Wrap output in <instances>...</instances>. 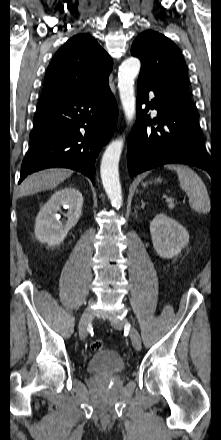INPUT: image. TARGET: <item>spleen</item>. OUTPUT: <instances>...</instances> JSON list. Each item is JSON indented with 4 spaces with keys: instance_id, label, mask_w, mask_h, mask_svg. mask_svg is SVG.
Masks as SVG:
<instances>
[{
    "instance_id": "3e777b00",
    "label": "spleen",
    "mask_w": 221,
    "mask_h": 440,
    "mask_svg": "<svg viewBox=\"0 0 221 440\" xmlns=\"http://www.w3.org/2000/svg\"><path fill=\"white\" fill-rule=\"evenodd\" d=\"M165 168L174 170L177 173L180 187L189 197L190 207L200 213H209L210 198L208 191L197 173L185 165L169 164L165 165Z\"/></svg>"
}]
</instances>
